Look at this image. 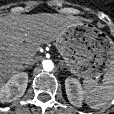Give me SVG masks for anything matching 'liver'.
Wrapping results in <instances>:
<instances>
[{
    "label": "liver",
    "mask_w": 114,
    "mask_h": 114,
    "mask_svg": "<svg viewBox=\"0 0 114 114\" xmlns=\"http://www.w3.org/2000/svg\"><path fill=\"white\" fill-rule=\"evenodd\" d=\"M81 23L78 17L51 13L0 17V89L26 60L35 61L40 45L59 40Z\"/></svg>",
    "instance_id": "1"
}]
</instances>
